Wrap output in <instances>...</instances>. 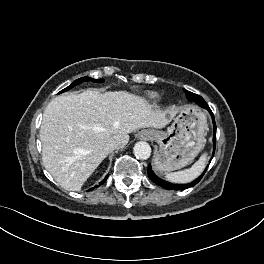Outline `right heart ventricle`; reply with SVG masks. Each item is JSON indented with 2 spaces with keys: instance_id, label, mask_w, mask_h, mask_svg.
Segmentation results:
<instances>
[{
  "instance_id": "obj_1",
  "label": "right heart ventricle",
  "mask_w": 264,
  "mask_h": 264,
  "mask_svg": "<svg viewBox=\"0 0 264 264\" xmlns=\"http://www.w3.org/2000/svg\"><path fill=\"white\" fill-rule=\"evenodd\" d=\"M146 98L148 99V101L150 102H156L158 100V95L155 93H148L146 95Z\"/></svg>"
}]
</instances>
